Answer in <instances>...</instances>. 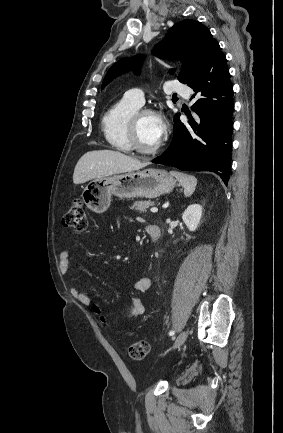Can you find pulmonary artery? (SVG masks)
Wrapping results in <instances>:
<instances>
[{
  "label": "pulmonary artery",
  "mask_w": 283,
  "mask_h": 433,
  "mask_svg": "<svg viewBox=\"0 0 283 433\" xmlns=\"http://www.w3.org/2000/svg\"><path fill=\"white\" fill-rule=\"evenodd\" d=\"M173 92L177 93V96H184L186 99L189 98L191 90L190 87H185L184 83H176V80H170V86H168ZM167 93H171L167 91ZM125 98L137 106L144 104V95L140 90L132 89L126 92Z\"/></svg>",
  "instance_id": "1"
}]
</instances>
